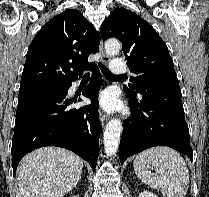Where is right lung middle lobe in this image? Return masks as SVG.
Returning a JSON list of instances; mask_svg holds the SVG:
<instances>
[{
    "instance_id": "right-lung-middle-lobe-1",
    "label": "right lung middle lobe",
    "mask_w": 209,
    "mask_h": 197,
    "mask_svg": "<svg viewBox=\"0 0 209 197\" xmlns=\"http://www.w3.org/2000/svg\"><path fill=\"white\" fill-rule=\"evenodd\" d=\"M65 85H46L19 90L18 101L31 97L62 91Z\"/></svg>"
}]
</instances>
